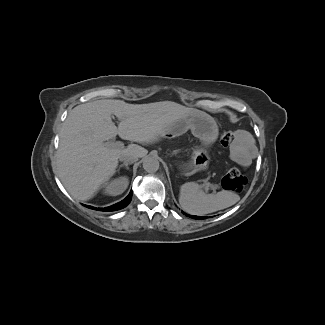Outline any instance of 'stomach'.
Wrapping results in <instances>:
<instances>
[{"instance_id":"obj_1","label":"stomach","mask_w":325,"mask_h":325,"mask_svg":"<svg viewBox=\"0 0 325 325\" xmlns=\"http://www.w3.org/2000/svg\"><path fill=\"white\" fill-rule=\"evenodd\" d=\"M191 129L192 133L203 141H211L216 138L218 130L214 119L203 113L194 112L174 121L170 127L163 129V134L172 139L178 137L180 132ZM209 164V157L204 150H196L190 161L184 165L186 170H203Z\"/></svg>"}]
</instances>
